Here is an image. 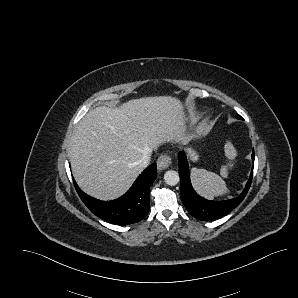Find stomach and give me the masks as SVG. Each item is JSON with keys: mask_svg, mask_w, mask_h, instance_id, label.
Returning a JSON list of instances; mask_svg holds the SVG:
<instances>
[{"mask_svg": "<svg viewBox=\"0 0 298 298\" xmlns=\"http://www.w3.org/2000/svg\"><path fill=\"white\" fill-rule=\"evenodd\" d=\"M184 152L186 154L187 159L196 164L200 162L201 154L199 153L198 149L196 148L195 142H188L184 147Z\"/></svg>", "mask_w": 298, "mask_h": 298, "instance_id": "1", "label": "stomach"}]
</instances>
